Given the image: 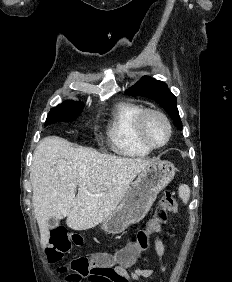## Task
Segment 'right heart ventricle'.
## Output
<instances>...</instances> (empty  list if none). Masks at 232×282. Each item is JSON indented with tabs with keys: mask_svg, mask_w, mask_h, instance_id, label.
Here are the masks:
<instances>
[{
	"mask_svg": "<svg viewBox=\"0 0 232 282\" xmlns=\"http://www.w3.org/2000/svg\"><path fill=\"white\" fill-rule=\"evenodd\" d=\"M143 107L128 101L115 104L107 125L110 149L124 157H145L151 150L143 146L135 135V120Z\"/></svg>",
	"mask_w": 232,
	"mask_h": 282,
	"instance_id": "right-heart-ventricle-1",
	"label": "right heart ventricle"
}]
</instances>
